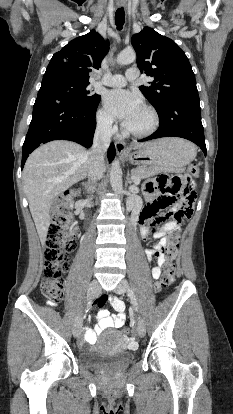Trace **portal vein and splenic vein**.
Wrapping results in <instances>:
<instances>
[{
    "instance_id": "1",
    "label": "portal vein and splenic vein",
    "mask_w": 233,
    "mask_h": 414,
    "mask_svg": "<svg viewBox=\"0 0 233 414\" xmlns=\"http://www.w3.org/2000/svg\"><path fill=\"white\" fill-rule=\"evenodd\" d=\"M133 181L135 185H138L140 183V179L139 178H134L133 177Z\"/></svg>"
}]
</instances>
